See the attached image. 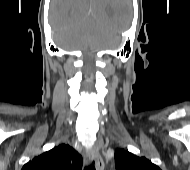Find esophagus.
Here are the masks:
<instances>
[{"label":"esophagus","instance_id":"1","mask_svg":"<svg viewBox=\"0 0 190 170\" xmlns=\"http://www.w3.org/2000/svg\"><path fill=\"white\" fill-rule=\"evenodd\" d=\"M87 157L89 160L95 161L96 170H104V161L96 148H89L87 150Z\"/></svg>","mask_w":190,"mask_h":170}]
</instances>
